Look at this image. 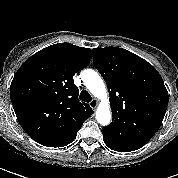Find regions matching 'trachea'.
<instances>
[{
    "instance_id": "obj_1",
    "label": "trachea",
    "mask_w": 178,
    "mask_h": 178,
    "mask_svg": "<svg viewBox=\"0 0 178 178\" xmlns=\"http://www.w3.org/2000/svg\"><path fill=\"white\" fill-rule=\"evenodd\" d=\"M79 99L84 102H90L92 100L91 95L86 90L81 91Z\"/></svg>"
}]
</instances>
